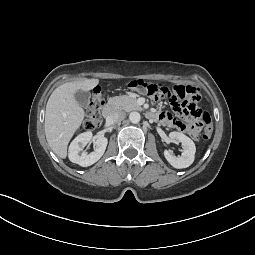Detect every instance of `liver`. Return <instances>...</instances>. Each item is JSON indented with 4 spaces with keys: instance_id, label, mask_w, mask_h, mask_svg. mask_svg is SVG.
<instances>
[{
    "instance_id": "obj_1",
    "label": "liver",
    "mask_w": 255,
    "mask_h": 255,
    "mask_svg": "<svg viewBox=\"0 0 255 255\" xmlns=\"http://www.w3.org/2000/svg\"><path fill=\"white\" fill-rule=\"evenodd\" d=\"M98 79L66 82L51 94L46 105L45 135L53 152L60 158L67 157V147L74 132L84 120L85 112L78 104L77 91H89L98 85Z\"/></svg>"
}]
</instances>
